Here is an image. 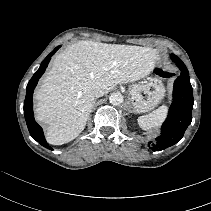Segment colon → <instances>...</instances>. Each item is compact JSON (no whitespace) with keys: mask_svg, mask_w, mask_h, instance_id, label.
<instances>
[{"mask_svg":"<svg viewBox=\"0 0 211 211\" xmlns=\"http://www.w3.org/2000/svg\"><path fill=\"white\" fill-rule=\"evenodd\" d=\"M159 72H160V74L162 75V76H164V77H168L169 76V73L168 72H166V71H164V70H159Z\"/></svg>","mask_w":211,"mask_h":211,"instance_id":"colon-1","label":"colon"}]
</instances>
